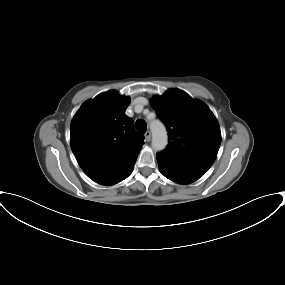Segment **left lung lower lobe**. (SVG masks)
<instances>
[{"instance_id":"1","label":"left lung lower lobe","mask_w":285,"mask_h":285,"mask_svg":"<svg viewBox=\"0 0 285 285\" xmlns=\"http://www.w3.org/2000/svg\"><path fill=\"white\" fill-rule=\"evenodd\" d=\"M157 161L161 173L168 179L180 184L192 183L207 172V169L174 160L163 153L157 154Z\"/></svg>"}]
</instances>
